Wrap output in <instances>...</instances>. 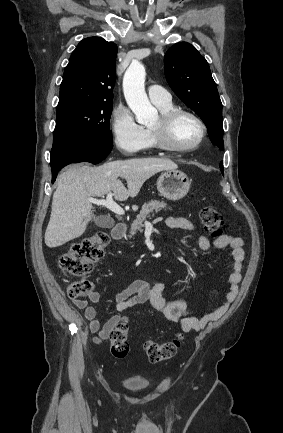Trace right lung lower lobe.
<instances>
[{
	"instance_id": "right-lung-lower-lobe-1",
	"label": "right lung lower lobe",
	"mask_w": 283,
	"mask_h": 433,
	"mask_svg": "<svg viewBox=\"0 0 283 433\" xmlns=\"http://www.w3.org/2000/svg\"><path fill=\"white\" fill-rule=\"evenodd\" d=\"M112 147V143L101 144L97 141L76 137L54 139L50 159L52 183L64 166L76 162L97 164L107 157Z\"/></svg>"
}]
</instances>
